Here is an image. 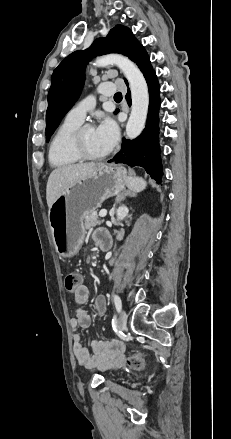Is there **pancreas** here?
Returning a JSON list of instances; mask_svg holds the SVG:
<instances>
[{
	"label": "pancreas",
	"instance_id": "pancreas-1",
	"mask_svg": "<svg viewBox=\"0 0 231 439\" xmlns=\"http://www.w3.org/2000/svg\"><path fill=\"white\" fill-rule=\"evenodd\" d=\"M101 223L102 221L98 218L96 212H92L84 217V226L86 229H91Z\"/></svg>",
	"mask_w": 231,
	"mask_h": 439
}]
</instances>
